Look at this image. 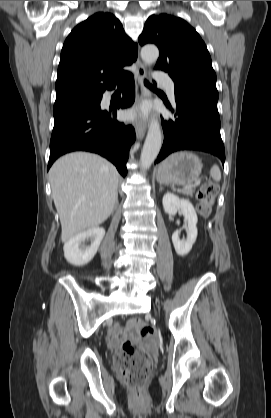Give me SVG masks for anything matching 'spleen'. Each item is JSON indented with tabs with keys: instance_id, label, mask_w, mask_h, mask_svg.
I'll list each match as a JSON object with an SVG mask.
<instances>
[{
	"instance_id": "1",
	"label": "spleen",
	"mask_w": 271,
	"mask_h": 418,
	"mask_svg": "<svg viewBox=\"0 0 271 418\" xmlns=\"http://www.w3.org/2000/svg\"><path fill=\"white\" fill-rule=\"evenodd\" d=\"M210 174L214 181L218 182L221 179V171L218 166H213L210 170Z\"/></svg>"
}]
</instances>
